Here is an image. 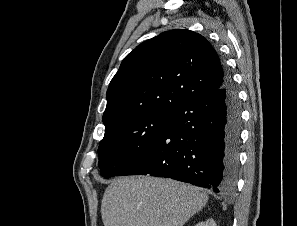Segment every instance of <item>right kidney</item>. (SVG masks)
<instances>
[{"mask_svg":"<svg viewBox=\"0 0 297 226\" xmlns=\"http://www.w3.org/2000/svg\"><path fill=\"white\" fill-rule=\"evenodd\" d=\"M195 226H216V223L213 219H208L204 222H200Z\"/></svg>","mask_w":297,"mask_h":226,"instance_id":"right-kidney-1","label":"right kidney"}]
</instances>
